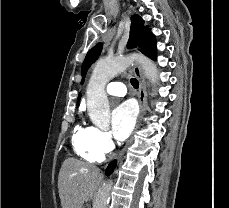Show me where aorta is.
Instances as JSON below:
<instances>
[{"instance_id":"aorta-1","label":"aorta","mask_w":229,"mask_h":208,"mask_svg":"<svg viewBox=\"0 0 229 208\" xmlns=\"http://www.w3.org/2000/svg\"><path fill=\"white\" fill-rule=\"evenodd\" d=\"M137 61L141 64L144 75L153 84L158 81V69L154 62L142 55L110 58L96 63L87 86V110L93 124L105 129L110 123V106L105 92V86L117 74L125 71L128 66ZM113 181L109 180L99 188L93 201V208H107Z\"/></svg>"}]
</instances>
